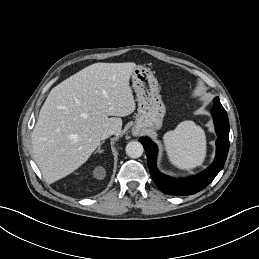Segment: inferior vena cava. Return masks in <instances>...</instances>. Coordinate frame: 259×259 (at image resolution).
Here are the masks:
<instances>
[{"label":"inferior vena cava","instance_id":"1","mask_svg":"<svg viewBox=\"0 0 259 259\" xmlns=\"http://www.w3.org/2000/svg\"><path fill=\"white\" fill-rule=\"evenodd\" d=\"M115 134V131L111 128L106 129L102 134H101V140H104L108 138L109 136Z\"/></svg>","mask_w":259,"mask_h":259}]
</instances>
